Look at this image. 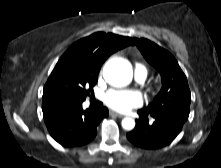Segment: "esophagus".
<instances>
[{"mask_svg":"<svg viewBox=\"0 0 221 168\" xmlns=\"http://www.w3.org/2000/svg\"><path fill=\"white\" fill-rule=\"evenodd\" d=\"M110 115L115 116V117H118V118H123V117H124L123 114H119V113L114 112V111H111V112H110Z\"/></svg>","mask_w":221,"mask_h":168,"instance_id":"1","label":"esophagus"}]
</instances>
